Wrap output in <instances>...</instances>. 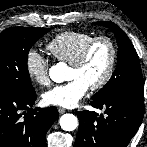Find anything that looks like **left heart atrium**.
Masks as SVG:
<instances>
[{
    "label": "left heart atrium",
    "instance_id": "39dd6f15",
    "mask_svg": "<svg viewBox=\"0 0 147 147\" xmlns=\"http://www.w3.org/2000/svg\"><path fill=\"white\" fill-rule=\"evenodd\" d=\"M89 88V85L83 80L74 79L45 92L43 101L47 105L73 108L87 94Z\"/></svg>",
    "mask_w": 147,
    "mask_h": 147
}]
</instances>
